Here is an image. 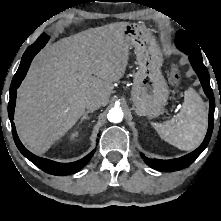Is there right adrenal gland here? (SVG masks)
<instances>
[{
    "label": "right adrenal gland",
    "instance_id": "2a0ac1e0",
    "mask_svg": "<svg viewBox=\"0 0 221 221\" xmlns=\"http://www.w3.org/2000/svg\"><path fill=\"white\" fill-rule=\"evenodd\" d=\"M92 110H87L86 112H84L83 116L81 117L79 124H81L84 120H89L90 117L88 116L89 113H92Z\"/></svg>",
    "mask_w": 221,
    "mask_h": 221
}]
</instances>
